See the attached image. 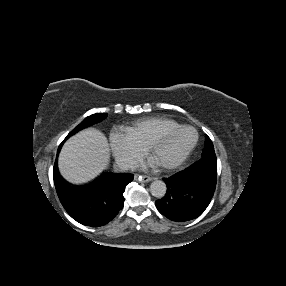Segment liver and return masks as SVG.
<instances>
[{"instance_id":"1","label":"liver","mask_w":286,"mask_h":286,"mask_svg":"<svg viewBox=\"0 0 286 286\" xmlns=\"http://www.w3.org/2000/svg\"><path fill=\"white\" fill-rule=\"evenodd\" d=\"M110 149L100 131L88 128L70 137L58 158L61 175L75 184L86 183L97 177L109 164Z\"/></svg>"}]
</instances>
